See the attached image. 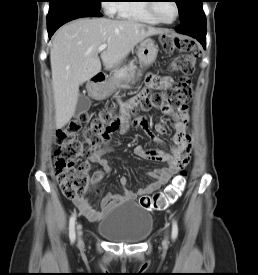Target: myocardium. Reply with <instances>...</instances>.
Instances as JSON below:
<instances>
[{
	"instance_id": "obj_1",
	"label": "myocardium",
	"mask_w": 258,
	"mask_h": 275,
	"mask_svg": "<svg viewBox=\"0 0 258 275\" xmlns=\"http://www.w3.org/2000/svg\"><path fill=\"white\" fill-rule=\"evenodd\" d=\"M149 2H153V3H148L147 4V8H148V11L150 12V14L154 17L155 20H157L159 23H162V24H172L174 23L178 17H179V14H180V8H179V5L176 1H172L175 5V9H176V15H175V18L171 21H165L163 19H161L158 15H157V12H156V4L157 3H154V2H158V1H150Z\"/></svg>"
}]
</instances>
